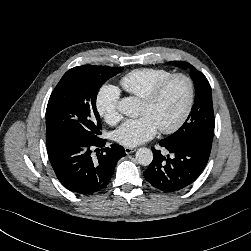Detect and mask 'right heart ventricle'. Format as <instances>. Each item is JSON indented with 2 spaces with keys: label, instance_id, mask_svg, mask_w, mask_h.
Instances as JSON below:
<instances>
[{
  "label": "right heart ventricle",
  "instance_id": "1",
  "mask_svg": "<svg viewBox=\"0 0 251 251\" xmlns=\"http://www.w3.org/2000/svg\"><path fill=\"white\" fill-rule=\"evenodd\" d=\"M172 75L173 72L167 69L141 68L126 74L120 84L128 93L143 99Z\"/></svg>",
  "mask_w": 251,
  "mask_h": 251
}]
</instances>
